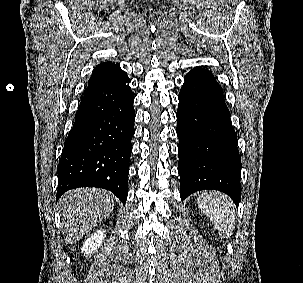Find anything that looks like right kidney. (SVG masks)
<instances>
[{
    "label": "right kidney",
    "mask_w": 303,
    "mask_h": 283,
    "mask_svg": "<svg viewBox=\"0 0 303 283\" xmlns=\"http://www.w3.org/2000/svg\"><path fill=\"white\" fill-rule=\"evenodd\" d=\"M105 232V230L100 229L92 234L83 244L82 253L84 252L87 256H91L92 253L97 252V250L102 246Z\"/></svg>",
    "instance_id": "ca27d5eb"
}]
</instances>
